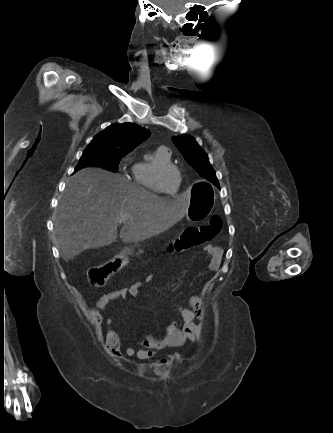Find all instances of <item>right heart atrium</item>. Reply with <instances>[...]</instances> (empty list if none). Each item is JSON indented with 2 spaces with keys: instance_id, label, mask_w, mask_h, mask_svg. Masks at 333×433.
Listing matches in <instances>:
<instances>
[{
  "instance_id": "d8ad5b80",
  "label": "right heart atrium",
  "mask_w": 333,
  "mask_h": 433,
  "mask_svg": "<svg viewBox=\"0 0 333 433\" xmlns=\"http://www.w3.org/2000/svg\"><path fill=\"white\" fill-rule=\"evenodd\" d=\"M136 164L134 163L133 153L126 154L120 162V169L123 173L131 172L134 174Z\"/></svg>"
}]
</instances>
